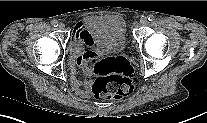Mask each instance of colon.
<instances>
[{
    "mask_svg": "<svg viewBox=\"0 0 207 123\" xmlns=\"http://www.w3.org/2000/svg\"><path fill=\"white\" fill-rule=\"evenodd\" d=\"M97 75L92 93L98 99H119L132 91L133 67L124 57H96L91 63Z\"/></svg>",
    "mask_w": 207,
    "mask_h": 123,
    "instance_id": "5ec220e1",
    "label": "colon"
}]
</instances>
